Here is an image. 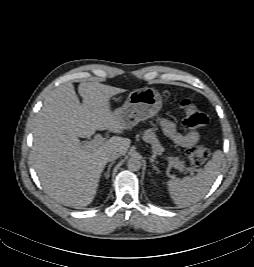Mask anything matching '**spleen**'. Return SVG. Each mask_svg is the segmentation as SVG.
Listing matches in <instances>:
<instances>
[{
  "mask_svg": "<svg viewBox=\"0 0 254 267\" xmlns=\"http://www.w3.org/2000/svg\"><path fill=\"white\" fill-rule=\"evenodd\" d=\"M222 159V152L217 150L196 176L168 180L167 188L173 202L179 208H184L200 201L216 180Z\"/></svg>",
  "mask_w": 254,
  "mask_h": 267,
  "instance_id": "1",
  "label": "spleen"
}]
</instances>
